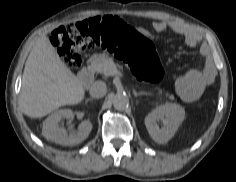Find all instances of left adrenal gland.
<instances>
[{"label":"left adrenal gland","mask_w":236,"mask_h":182,"mask_svg":"<svg viewBox=\"0 0 236 182\" xmlns=\"http://www.w3.org/2000/svg\"><path fill=\"white\" fill-rule=\"evenodd\" d=\"M133 94L135 97H138V96H143V95H150V93H146V92H136V90H133Z\"/></svg>","instance_id":"obj_1"}]
</instances>
